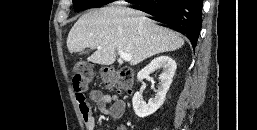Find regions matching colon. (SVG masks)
<instances>
[{"label": "colon", "instance_id": "1", "mask_svg": "<svg viewBox=\"0 0 257 130\" xmlns=\"http://www.w3.org/2000/svg\"><path fill=\"white\" fill-rule=\"evenodd\" d=\"M72 82L76 96L84 99V91L93 82L95 74L87 62H78L72 67ZM104 87L121 94L130 93L133 86V72L129 68L107 67L101 71Z\"/></svg>", "mask_w": 257, "mask_h": 130}]
</instances>
